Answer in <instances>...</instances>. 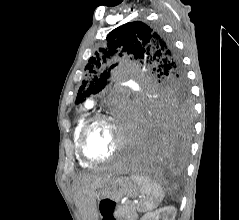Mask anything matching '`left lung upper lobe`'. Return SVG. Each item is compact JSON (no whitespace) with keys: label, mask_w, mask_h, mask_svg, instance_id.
<instances>
[{"label":"left lung upper lobe","mask_w":239,"mask_h":220,"mask_svg":"<svg viewBox=\"0 0 239 220\" xmlns=\"http://www.w3.org/2000/svg\"><path fill=\"white\" fill-rule=\"evenodd\" d=\"M123 53L132 54L136 60L153 68L159 78L158 84L145 95L143 108L152 112H173L183 122L190 123L193 105L181 59L160 30L141 21L126 23L107 35L105 46L90 57L85 67V80L75 103H82L108 84L112 69L118 65L113 61Z\"/></svg>","instance_id":"1"}]
</instances>
